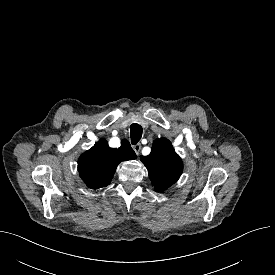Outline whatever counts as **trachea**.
Masks as SVG:
<instances>
[{
    "instance_id": "trachea-1",
    "label": "trachea",
    "mask_w": 275,
    "mask_h": 275,
    "mask_svg": "<svg viewBox=\"0 0 275 275\" xmlns=\"http://www.w3.org/2000/svg\"><path fill=\"white\" fill-rule=\"evenodd\" d=\"M130 136L131 143L133 145L137 144L142 137V127L137 123L132 124L130 126Z\"/></svg>"
}]
</instances>
